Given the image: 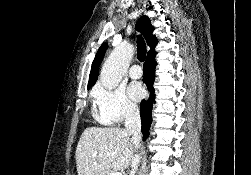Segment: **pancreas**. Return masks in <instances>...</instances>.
Wrapping results in <instances>:
<instances>
[{"label": "pancreas", "instance_id": "obj_1", "mask_svg": "<svg viewBox=\"0 0 251 175\" xmlns=\"http://www.w3.org/2000/svg\"><path fill=\"white\" fill-rule=\"evenodd\" d=\"M107 175H110L109 171H106Z\"/></svg>", "mask_w": 251, "mask_h": 175}]
</instances>
